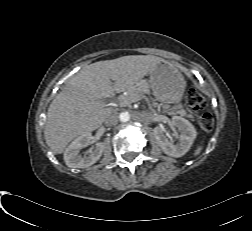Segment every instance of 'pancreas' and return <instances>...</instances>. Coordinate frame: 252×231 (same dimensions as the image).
Here are the masks:
<instances>
[{"label":"pancreas","mask_w":252,"mask_h":231,"mask_svg":"<svg viewBox=\"0 0 252 231\" xmlns=\"http://www.w3.org/2000/svg\"><path fill=\"white\" fill-rule=\"evenodd\" d=\"M119 102H120L121 106H129L133 102V97L131 95H129V96H122V97H120ZM178 113L181 116L193 118V116L191 114H188L185 110H180Z\"/></svg>","instance_id":"cf45deb5"}]
</instances>
